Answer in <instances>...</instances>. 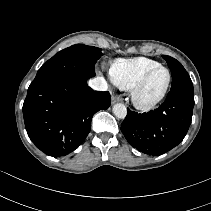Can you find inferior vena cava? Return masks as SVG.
I'll list each match as a JSON object with an SVG mask.
<instances>
[{"label": "inferior vena cava", "mask_w": 211, "mask_h": 211, "mask_svg": "<svg viewBox=\"0 0 211 211\" xmlns=\"http://www.w3.org/2000/svg\"><path fill=\"white\" fill-rule=\"evenodd\" d=\"M89 86L98 91H107L108 85L103 77H97L89 81Z\"/></svg>", "instance_id": "inferior-vena-cava-1"}]
</instances>
